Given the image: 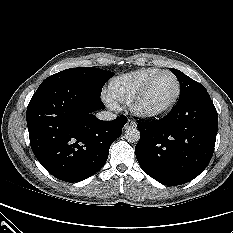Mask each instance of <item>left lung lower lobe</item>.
Segmentation results:
<instances>
[{"mask_svg":"<svg viewBox=\"0 0 233 233\" xmlns=\"http://www.w3.org/2000/svg\"><path fill=\"white\" fill-rule=\"evenodd\" d=\"M135 147L141 168L156 181L173 186L197 177L209 164L216 141L218 115L207 90L178 100L163 118L137 125Z\"/></svg>","mask_w":233,"mask_h":233,"instance_id":"obj_1","label":"left lung lower lobe"}]
</instances>
